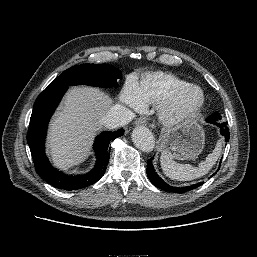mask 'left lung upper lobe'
Masks as SVG:
<instances>
[{"label": "left lung upper lobe", "mask_w": 257, "mask_h": 257, "mask_svg": "<svg viewBox=\"0 0 257 257\" xmlns=\"http://www.w3.org/2000/svg\"><path fill=\"white\" fill-rule=\"evenodd\" d=\"M220 119V115L218 113H214L211 116H209L206 120L209 123H216L217 121H219Z\"/></svg>", "instance_id": "5c2ea615"}]
</instances>
